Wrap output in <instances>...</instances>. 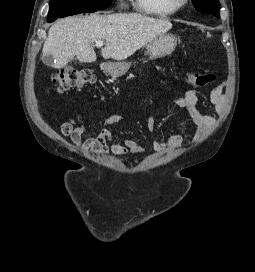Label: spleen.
Masks as SVG:
<instances>
[{"label": "spleen", "instance_id": "spleen-1", "mask_svg": "<svg viewBox=\"0 0 255 272\" xmlns=\"http://www.w3.org/2000/svg\"><path fill=\"white\" fill-rule=\"evenodd\" d=\"M207 36H208V37H211V35H210L209 33H207Z\"/></svg>", "mask_w": 255, "mask_h": 272}]
</instances>
